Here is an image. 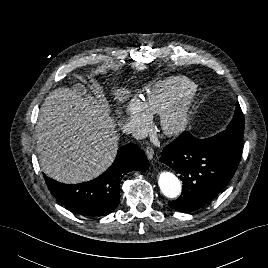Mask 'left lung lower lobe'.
<instances>
[{"label":"left lung lower lobe","mask_w":268,"mask_h":268,"mask_svg":"<svg viewBox=\"0 0 268 268\" xmlns=\"http://www.w3.org/2000/svg\"><path fill=\"white\" fill-rule=\"evenodd\" d=\"M240 159L241 154L209 138L197 139L183 132L161 153L160 162L174 169L183 181L180 197L168 204L180 212L203 207L229 183Z\"/></svg>","instance_id":"obj_1"}]
</instances>
